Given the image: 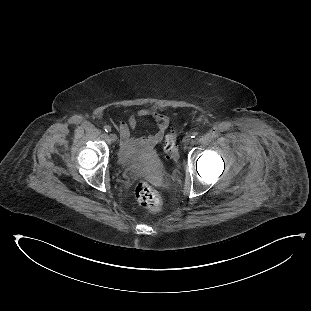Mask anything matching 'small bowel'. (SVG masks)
Wrapping results in <instances>:
<instances>
[{
  "label": "small bowel",
  "instance_id": "c3829d8e",
  "mask_svg": "<svg viewBox=\"0 0 311 311\" xmlns=\"http://www.w3.org/2000/svg\"><path fill=\"white\" fill-rule=\"evenodd\" d=\"M142 118H151L156 124V131L144 136H135L133 134L134 128ZM168 125L169 117L157 108L145 107L139 109L119 126L124 153L135 149H153L164 138Z\"/></svg>",
  "mask_w": 311,
  "mask_h": 311
}]
</instances>
